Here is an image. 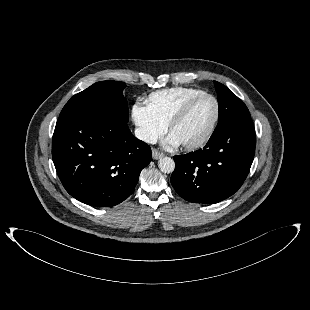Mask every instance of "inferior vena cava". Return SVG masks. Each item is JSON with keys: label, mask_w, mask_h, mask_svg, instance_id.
Wrapping results in <instances>:
<instances>
[{"label": "inferior vena cava", "mask_w": 310, "mask_h": 310, "mask_svg": "<svg viewBox=\"0 0 310 310\" xmlns=\"http://www.w3.org/2000/svg\"><path fill=\"white\" fill-rule=\"evenodd\" d=\"M135 136L146 143L155 144L157 142V136L143 128H136Z\"/></svg>", "instance_id": "602c4592"}]
</instances>
